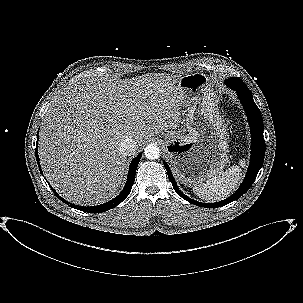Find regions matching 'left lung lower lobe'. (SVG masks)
<instances>
[{
  "label": "left lung lower lobe",
  "instance_id": "1",
  "mask_svg": "<svg viewBox=\"0 0 303 303\" xmlns=\"http://www.w3.org/2000/svg\"><path fill=\"white\" fill-rule=\"evenodd\" d=\"M225 84L237 92L238 98L241 101L242 106L247 114L250 129H251L250 165L247 170L246 176L241 186L238 188V190L233 195L220 202H216V203L197 202L187 197L179 190L168 164L166 162H163L168 173V178L171 181L175 192L186 201L194 205L205 207V208L221 207L241 197L254 182L260 168L263 165L264 155H265V141L263 138V130H264L263 119L259 108L257 107V105L255 104L252 98L251 91L246 87L245 83L238 77L229 78L228 80L225 81Z\"/></svg>",
  "mask_w": 303,
  "mask_h": 303
}]
</instances>
